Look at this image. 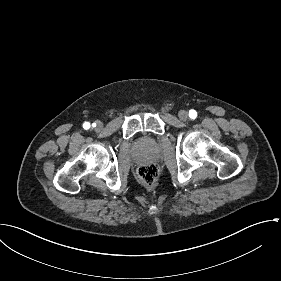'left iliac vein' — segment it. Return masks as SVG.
Here are the masks:
<instances>
[{
  "label": "left iliac vein",
  "mask_w": 281,
  "mask_h": 281,
  "mask_svg": "<svg viewBox=\"0 0 281 281\" xmlns=\"http://www.w3.org/2000/svg\"><path fill=\"white\" fill-rule=\"evenodd\" d=\"M178 117L180 120L182 121H186L189 116H188V113L185 111V110H181L179 113H178Z\"/></svg>",
  "instance_id": "1"
}]
</instances>
